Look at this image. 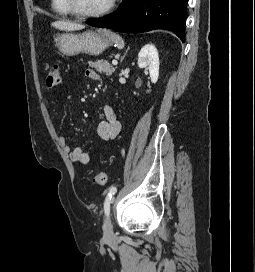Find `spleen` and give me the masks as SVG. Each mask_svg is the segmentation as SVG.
<instances>
[{
	"instance_id": "3e777b00",
	"label": "spleen",
	"mask_w": 255,
	"mask_h": 272,
	"mask_svg": "<svg viewBox=\"0 0 255 272\" xmlns=\"http://www.w3.org/2000/svg\"><path fill=\"white\" fill-rule=\"evenodd\" d=\"M103 34L110 38L111 41H113L117 45L118 48L124 47V41L118 34L107 30H104Z\"/></svg>"
}]
</instances>
